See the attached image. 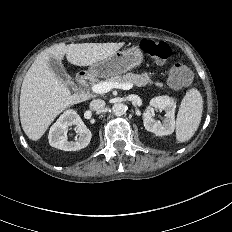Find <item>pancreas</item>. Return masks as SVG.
<instances>
[{
  "instance_id": "obj_1",
  "label": "pancreas",
  "mask_w": 232,
  "mask_h": 232,
  "mask_svg": "<svg viewBox=\"0 0 232 232\" xmlns=\"http://www.w3.org/2000/svg\"><path fill=\"white\" fill-rule=\"evenodd\" d=\"M106 81L118 82V83H133L137 86H145L153 84L151 77L147 73L142 74H134L132 72L124 74V75H116L108 78ZM156 86L163 87L164 84L162 82H156Z\"/></svg>"
}]
</instances>
